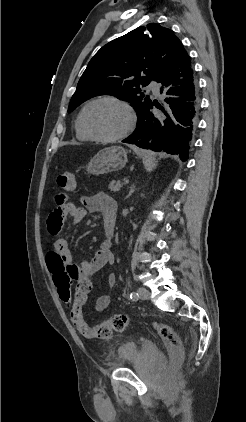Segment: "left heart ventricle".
Instances as JSON below:
<instances>
[{
  "mask_svg": "<svg viewBox=\"0 0 246 422\" xmlns=\"http://www.w3.org/2000/svg\"><path fill=\"white\" fill-rule=\"evenodd\" d=\"M89 129L96 135L110 137L120 133L127 124V114L118 104L103 101L92 105L86 114Z\"/></svg>",
  "mask_w": 246,
  "mask_h": 422,
  "instance_id": "obj_1",
  "label": "left heart ventricle"
}]
</instances>
